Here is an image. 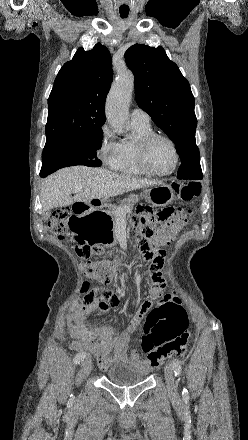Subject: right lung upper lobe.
<instances>
[{"label":"right lung upper lobe","instance_id":"1","mask_svg":"<svg viewBox=\"0 0 248 440\" xmlns=\"http://www.w3.org/2000/svg\"><path fill=\"white\" fill-rule=\"evenodd\" d=\"M112 76V58L105 46L98 43L89 51L79 48L58 72L50 93L46 141L101 128Z\"/></svg>","mask_w":248,"mask_h":440}]
</instances>
